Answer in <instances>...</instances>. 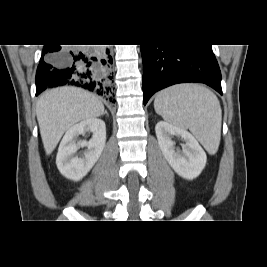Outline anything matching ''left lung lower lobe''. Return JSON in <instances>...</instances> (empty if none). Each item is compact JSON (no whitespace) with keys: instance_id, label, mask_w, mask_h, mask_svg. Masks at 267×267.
I'll list each match as a JSON object with an SVG mask.
<instances>
[{"instance_id":"left-lung-lower-lobe-1","label":"left lung lower lobe","mask_w":267,"mask_h":267,"mask_svg":"<svg viewBox=\"0 0 267 267\" xmlns=\"http://www.w3.org/2000/svg\"><path fill=\"white\" fill-rule=\"evenodd\" d=\"M143 102L157 91L177 83L200 82L220 94L221 73L211 45H141Z\"/></svg>"}]
</instances>
